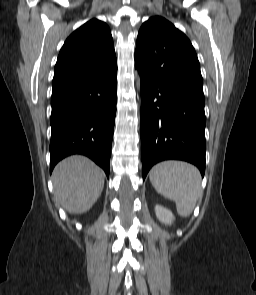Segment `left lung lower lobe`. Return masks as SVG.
Listing matches in <instances>:
<instances>
[{
	"mask_svg": "<svg viewBox=\"0 0 256 295\" xmlns=\"http://www.w3.org/2000/svg\"><path fill=\"white\" fill-rule=\"evenodd\" d=\"M141 75V157L143 179L163 160L196 165L205 173V100L191 97Z\"/></svg>",
	"mask_w": 256,
	"mask_h": 295,
	"instance_id": "obj_1",
	"label": "left lung lower lobe"
}]
</instances>
